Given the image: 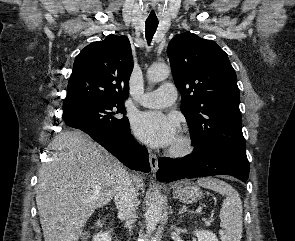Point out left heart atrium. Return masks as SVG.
<instances>
[{"mask_svg":"<svg viewBox=\"0 0 295 241\" xmlns=\"http://www.w3.org/2000/svg\"><path fill=\"white\" fill-rule=\"evenodd\" d=\"M136 136L152 147H168L178 137V122L158 111L138 113L132 121Z\"/></svg>","mask_w":295,"mask_h":241,"instance_id":"obj_1","label":"left heart atrium"}]
</instances>
